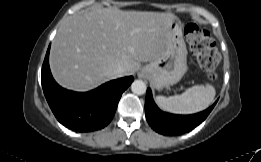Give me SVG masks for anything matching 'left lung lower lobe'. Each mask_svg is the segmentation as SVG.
<instances>
[{"label":"left lung lower lobe","instance_id":"1","mask_svg":"<svg viewBox=\"0 0 261 162\" xmlns=\"http://www.w3.org/2000/svg\"><path fill=\"white\" fill-rule=\"evenodd\" d=\"M216 102L206 110L192 115H175L161 111L155 104L150 88L147 89L145 112L149 125L166 136L181 135L201 124L214 108Z\"/></svg>","mask_w":261,"mask_h":162}]
</instances>
